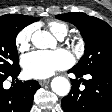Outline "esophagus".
I'll use <instances>...</instances> for the list:
<instances>
[{
  "mask_svg": "<svg viewBox=\"0 0 112 112\" xmlns=\"http://www.w3.org/2000/svg\"><path fill=\"white\" fill-rule=\"evenodd\" d=\"M49 80H40L39 81V84L41 85V86H45V85H47V84H49Z\"/></svg>",
  "mask_w": 112,
  "mask_h": 112,
  "instance_id": "1",
  "label": "esophagus"
}]
</instances>
